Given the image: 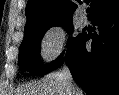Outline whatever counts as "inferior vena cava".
Masks as SVG:
<instances>
[{
    "label": "inferior vena cava",
    "mask_w": 119,
    "mask_h": 95,
    "mask_svg": "<svg viewBox=\"0 0 119 95\" xmlns=\"http://www.w3.org/2000/svg\"><path fill=\"white\" fill-rule=\"evenodd\" d=\"M60 75L67 85L69 95H82L81 90L73 82L71 72L66 65L63 66V69Z\"/></svg>",
    "instance_id": "602c4592"
}]
</instances>
